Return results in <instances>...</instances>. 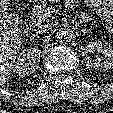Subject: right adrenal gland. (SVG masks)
<instances>
[{"instance_id":"2a0ac1e0","label":"right adrenal gland","mask_w":113,"mask_h":113,"mask_svg":"<svg viewBox=\"0 0 113 113\" xmlns=\"http://www.w3.org/2000/svg\"><path fill=\"white\" fill-rule=\"evenodd\" d=\"M31 37H32V38H38V36H37V35H31Z\"/></svg>"}]
</instances>
